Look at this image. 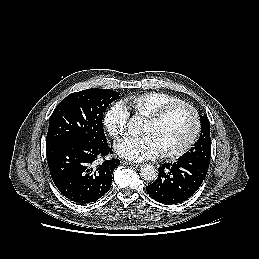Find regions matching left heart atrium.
I'll return each instance as SVG.
<instances>
[{
  "label": "left heart atrium",
  "instance_id": "left-heart-atrium-1",
  "mask_svg": "<svg viewBox=\"0 0 259 259\" xmlns=\"http://www.w3.org/2000/svg\"><path fill=\"white\" fill-rule=\"evenodd\" d=\"M114 150L117 155L134 162H141L159 155L152 138L148 135L125 137L119 140Z\"/></svg>",
  "mask_w": 259,
  "mask_h": 259
}]
</instances>
